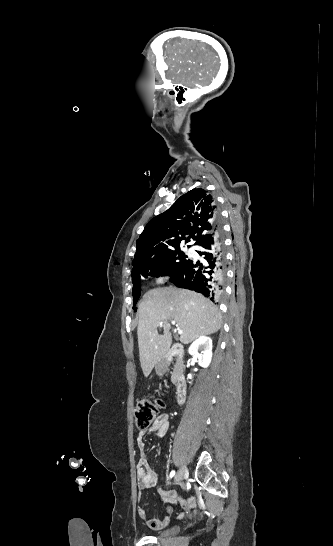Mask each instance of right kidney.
Segmentation results:
<instances>
[{"label": "right kidney", "mask_w": 333, "mask_h": 546, "mask_svg": "<svg viewBox=\"0 0 333 546\" xmlns=\"http://www.w3.org/2000/svg\"><path fill=\"white\" fill-rule=\"evenodd\" d=\"M198 350L201 352L199 353ZM188 353L201 367L207 368L212 359V339L200 337L190 345Z\"/></svg>", "instance_id": "obj_1"}]
</instances>
